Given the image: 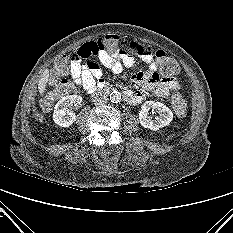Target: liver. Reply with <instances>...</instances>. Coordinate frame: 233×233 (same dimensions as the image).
<instances>
[{
	"mask_svg": "<svg viewBox=\"0 0 233 233\" xmlns=\"http://www.w3.org/2000/svg\"><path fill=\"white\" fill-rule=\"evenodd\" d=\"M48 78H49V71L46 69L43 72V74L41 76V79L38 82V89H39L40 94H42V95H43L44 90L46 88V84L48 82Z\"/></svg>",
	"mask_w": 233,
	"mask_h": 233,
	"instance_id": "obj_1",
	"label": "liver"
}]
</instances>
